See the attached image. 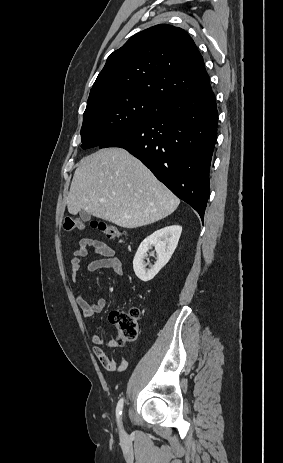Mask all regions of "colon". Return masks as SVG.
Returning a JSON list of instances; mask_svg holds the SVG:
<instances>
[{
    "mask_svg": "<svg viewBox=\"0 0 283 463\" xmlns=\"http://www.w3.org/2000/svg\"><path fill=\"white\" fill-rule=\"evenodd\" d=\"M89 224L92 228L104 234L108 239L120 240L122 238V231L112 224L95 219L91 220ZM86 226L87 222L85 220L75 217H66L63 224L65 231H83L86 229ZM139 317L140 310L136 307L111 312L110 319L116 326L118 342L120 344H131L137 340L139 336Z\"/></svg>",
    "mask_w": 283,
    "mask_h": 463,
    "instance_id": "5ec220e1",
    "label": "colon"
}]
</instances>
